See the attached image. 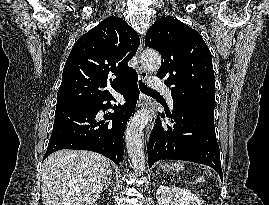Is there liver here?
I'll return each mask as SVG.
<instances>
[{
	"mask_svg": "<svg viewBox=\"0 0 269 205\" xmlns=\"http://www.w3.org/2000/svg\"><path fill=\"white\" fill-rule=\"evenodd\" d=\"M109 160L95 152L60 150L45 159L43 205H93L110 172Z\"/></svg>",
	"mask_w": 269,
	"mask_h": 205,
	"instance_id": "6515ba94",
	"label": "liver"
}]
</instances>
